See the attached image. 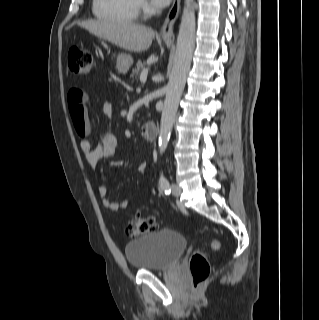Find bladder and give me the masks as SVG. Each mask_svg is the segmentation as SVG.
I'll return each instance as SVG.
<instances>
[{"instance_id": "bladder-1", "label": "bladder", "mask_w": 319, "mask_h": 320, "mask_svg": "<svg viewBox=\"0 0 319 320\" xmlns=\"http://www.w3.org/2000/svg\"><path fill=\"white\" fill-rule=\"evenodd\" d=\"M188 247L187 239L172 229L147 233L125 245V255L135 270L156 271L174 266Z\"/></svg>"}]
</instances>
